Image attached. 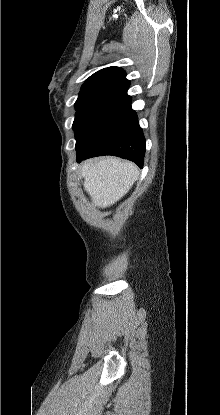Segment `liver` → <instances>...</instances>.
<instances>
[{
  "label": "liver",
  "mask_w": 220,
  "mask_h": 415,
  "mask_svg": "<svg viewBox=\"0 0 220 415\" xmlns=\"http://www.w3.org/2000/svg\"><path fill=\"white\" fill-rule=\"evenodd\" d=\"M84 189L92 204L106 208L119 201L138 179V167L116 157L91 159L81 166Z\"/></svg>",
  "instance_id": "1"
}]
</instances>
